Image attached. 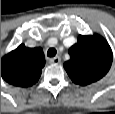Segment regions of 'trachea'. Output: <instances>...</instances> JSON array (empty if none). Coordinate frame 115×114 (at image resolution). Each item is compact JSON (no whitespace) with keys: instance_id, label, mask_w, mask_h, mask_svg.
Instances as JSON below:
<instances>
[{"instance_id":"obj_1","label":"trachea","mask_w":115,"mask_h":114,"mask_svg":"<svg viewBox=\"0 0 115 114\" xmlns=\"http://www.w3.org/2000/svg\"><path fill=\"white\" fill-rule=\"evenodd\" d=\"M57 51L55 48H50L48 51H47V56L48 57H54L56 55Z\"/></svg>"}]
</instances>
